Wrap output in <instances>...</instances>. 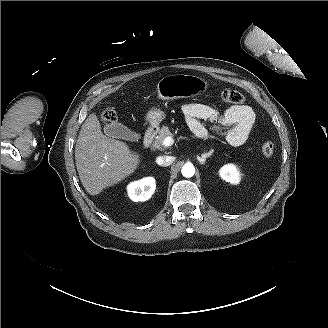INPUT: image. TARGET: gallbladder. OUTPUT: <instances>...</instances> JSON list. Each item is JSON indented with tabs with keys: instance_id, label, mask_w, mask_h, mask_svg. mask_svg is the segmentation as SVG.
Instances as JSON below:
<instances>
[{
	"instance_id": "obj_1",
	"label": "gallbladder",
	"mask_w": 328,
	"mask_h": 328,
	"mask_svg": "<svg viewBox=\"0 0 328 328\" xmlns=\"http://www.w3.org/2000/svg\"><path fill=\"white\" fill-rule=\"evenodd\" d=\"M104 134L121 140H126L129 142H140L143 138V135L138 132L130 129L121 122L111 121L104 126Z\"/></svg>"
}]
</instances>
